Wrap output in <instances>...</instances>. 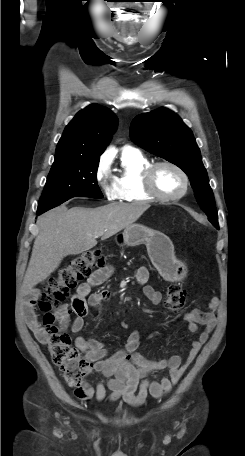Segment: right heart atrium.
<instances>
[{
	"instance_id": "obj_1",
	"label": "right heart atrium",
	"mask_w": 245,
	"mask_h": 456,
	"mask_svg": "<svg viewBox=\"0 0 245 456\" xmlns=\"http://www.w3.org/2000/svg\"><path fill=\"white\" fill-rule=\"evenodd\" d=\"M95 181L108 200L118 198V188L115 178L111 175L109 162L106 158H101L96 167Z\"/></svg>"
}]
</instances>
